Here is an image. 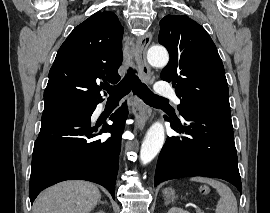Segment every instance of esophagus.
I'll return each mask as SVG.
<instances>
[{
  "mask_svg": "<svg viewBox=\"0 0 270 213\" xmlns=\"http://www.w3.org/2000/svg\"><path fill=\"white\" fill-rule=\"evenodd\" d=\"M151 40V32H147L143 36H140L137 40L135 51V59L140 70L141 78L146 83L151 80V69L146 60V52ZM133 111L135 115V127L138 130H142L151 116V109L143 102L137 100Z\"/></svg>",
  "mask_w": 270,
  "mask_h": 213,
  "instance_id": "1",
  "label": "esophagus"
}]
</instances>
